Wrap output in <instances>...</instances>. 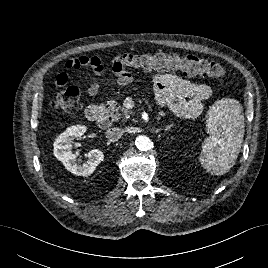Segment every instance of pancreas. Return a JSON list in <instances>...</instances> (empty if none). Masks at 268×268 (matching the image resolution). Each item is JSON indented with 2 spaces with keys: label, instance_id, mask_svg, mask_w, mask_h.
Masks as SVG:
<instances>
[{
  "label": "pancreas",
  "instance_id": "pancreas-1",
  "mask_svg": "<svg viewBox=\"0 0 268 268\" xmlns=\"http://www.w3.org/2000/svg\"><path fill=\"white\" fill-rule=\"evenodd\" d=\"M118 102L115 100H110L107 102V112L112 117L114 121H118L122 117L128 118L133 114L132 111L125 109L124 107L117 106Z\"/></svg>",
  "mask_w": 268,
  "mask_h": 268
}]
</instances>
